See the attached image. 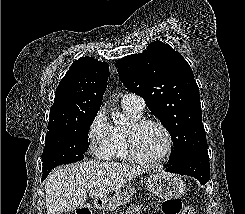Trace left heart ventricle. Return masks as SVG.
Segmentation results:
<instances>
[{
  "instance_id": "1",
  "label": "left heart ventricle",
  "mask_w": 245,
  "mask_h": 214,
  "mask_svg": "<svg viewBox=\"0 0 245 214\" xmlns=\"http://www.w3.org/2000/svg\"><path fill=\"white\" fill-rule=\"evenodd\" d=\"M136 144L143 156L153 159L164 152L167 146V139L160 128L150 125L137 133Z\"/></svg>"
}]
</instances>
